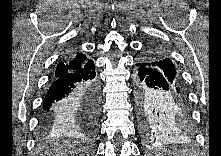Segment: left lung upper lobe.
Masks as SVG:
<instances>
[{
    "mask_svg": "<svg viewBox=\"0 0 221 156\" xmlns=\"http://www.w3.org/2000/svg\"><path fill=\"white\" fill-rule=\"evenodd\" d=\"M143 62H146L150 65L171 71L176 78L177 86L180 90V94L185 100H188V97L185 92L184 85L181 81L180 74L175 67L171 59L166 57V54L155 46H151L147 51L140 57Z\"/></svg>",
    "mask_w": 221,
    "mask_h": 156,
    "instance_id": "5c2ea615",
    "label": "left lung upper lobe"
}]
</instances>
